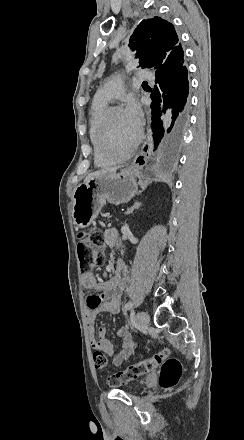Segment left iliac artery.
Masks as SVG:
<instances>
[{
  "instance_id": "left-iliac-artery-1",
  "label": "left iliac artery",
  "mask_w": 244,
  "mask_h": 440,
  "mask_svg": "<svg viewBox=\"0 0 244 440\" xmlns=\"http://www.w3.org/2000/svg\"><path fill=\"white\" fill-rule=\"evenodd\" d=\"M133 308V303L132 302H128V303H126L125 304V306H124V312L126 313L128 310H130V309H132Z\"/></svg>"
}]
</instances>
